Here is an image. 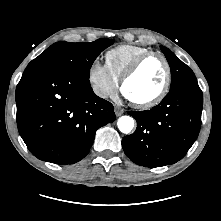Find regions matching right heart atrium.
Segmentation results:
<instances>
[{
    "mask_svg": "<svg viewBox=\"0 0 221 221\" xmlns=\"http://www.w3.org/2000/svg\"><path fill=\"white\" fill-rule=\"evenodd\" d=\"M87 81L92 92L100 99H117L119 84L108 72L105 64L93 60L87 70Z\"/></svg>",
    "mask_w": 221,
    "mask_h": 221,
    "instance_id": "right-heart-atrium-1",
    "label": "right heart atrium"
}]
</instances>
